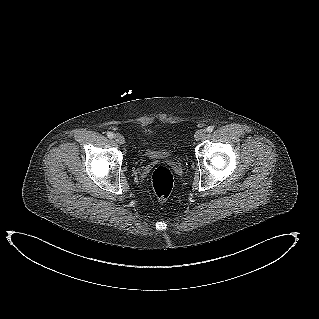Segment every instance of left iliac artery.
Here are the masks:
<instances>
[{
	"label": "left iliac artery",
	"instance_id": "obj_1",
	"mask_svg": "<svg viewBox=\"0 0 319 319\" xmlns=\"http://www.w3.org/2000/svg\"><path fill=\"white\" fill-rule=\"evenodd\" d=\"M213 129H214L213 126H208V127L206 128V131L210 133V132L213 131Z\"/></svg>",
	"mask_w": 319,
	"mask_h": 319
}]
</instances>
